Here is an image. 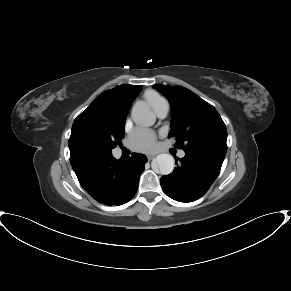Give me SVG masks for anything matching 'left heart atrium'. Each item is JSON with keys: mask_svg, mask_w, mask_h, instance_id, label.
<instances>
[{"mask_svg": "<svg viewBox=\"0 0 291 291\" xmlns=\"http://www.w3.org/2000/svg\"><path fill=\"white\" fill-rule=\"evenodd\" d=\"M157 135L155 132L138 128L130 137V145L134 150L140 152L152 151L156 146Z\"/></svg>", "mask_w": 291, "mask_h": 291, "instance_id": "1", "label": "left heart atrium"}]
</instances>
